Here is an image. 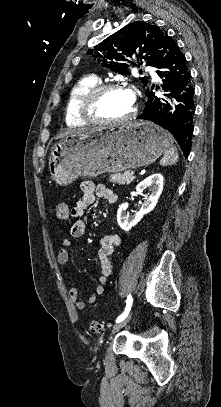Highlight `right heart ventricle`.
I'll return each instance as SVG.
<instances>
[{
    "mask_svg": "<svg viewBox=\"0 0 221 407\" xmlns=\"http://www.w3.org/2000/svg\"><path fill=\"white\" fill-rule=\"evenodd\" d=\"M98 85H100V81L96 77L87 76L79 79L71 87L65 103V121L68 125L80 126L87 123L82 116L80 103Z\"/></svg>",
    "mask_w": 221,
    "mask_h": 407,
    "instance_id": "e07e8e85",
    "label": "right heart ventricle"
}]
</instances>
